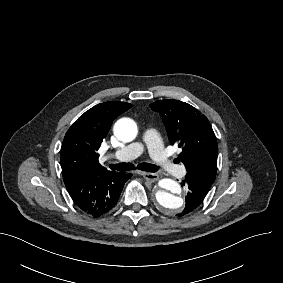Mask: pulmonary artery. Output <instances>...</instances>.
<instances>
[{
	"mask_svg": "<svg viewBox=\"0 0 283 283\" xmlns=\"http://www.w3.org/2000/svg\"><path fill=\"white\" fill-rule=\"evenodd\" d=\"M147 146L149 148L151 160L157 168L166 173H171L175 170L176 163L172 158L166 156L160 138V129L158 127L146 128L143 131L142 139L139 143L127 146L124 152H106L104 154V159L106 161H126L135 159L142 155L143 150H145ZM178 167L179 169L176 172V175L179 177L185 176L187 174V169L184 165Z\"/></svg>",
	"mask_w": 283,
	"mask_h": 283,
	"instance_id": "1",
	"label": "pulmonary artery"
}]
</instances>
